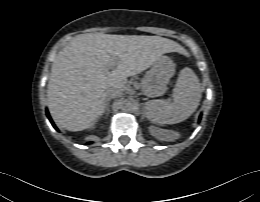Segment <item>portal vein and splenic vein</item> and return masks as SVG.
Masks as SVG:
<instances>
[{
    "instance_id": "obj_1",
    "label": "portal vein and splenic vein",
    "mask_w": 260,
    "mask_h": 202,
    "mask_svg": "<svg viewBox=\"0 0 260 202\" xmlns=\"http://www.w3.org/2000/svg\"><path fill=\"white\" fill-rule=\"evenodd\" d=\"M112 66H114V63H111V64H110V67H112ZM110 67H109V68H110Z\"/></svg>"
}]
</instances>
